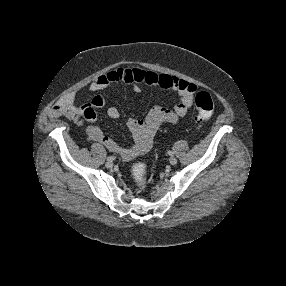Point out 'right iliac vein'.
Listing matches in <instances>:
<instances>
[{
    "instance_id": "right-iliac-vein-1",
    "label": "right iliac vein",
    "mask_w": 286,
    "mask_h": 286,
    "mask_svg": "<svg viewBox=\"0 0 286 286\" xmlns=\"http://www.w3.org/2000/svg\"><path fill=\"white\" fill-rule=\"evenodd\" d=\"M113 165H114V164H113L112 161H107L106 164H105V166H106L107 168H112Z\"/></svg>"
}]
</instances>
